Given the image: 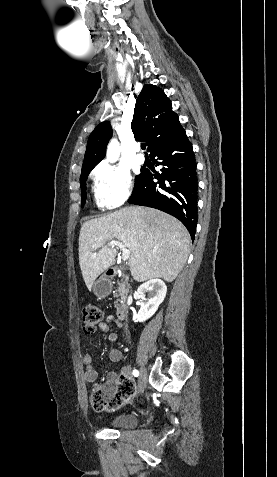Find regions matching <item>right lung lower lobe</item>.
Returning <instances> with one entry per match:
<instances>
[{
	"label": "right lung lower lobe",
	"mask_w": 277,
	"mask_h": 477,
	"mask_svg": "<svg viewBox=\"0 0 277 477\" xmlns=\"http://www.w3.org/2000/svg\"><path fill=\"white\" fill-rule=\"evenodd\" d=\"M151 159L162 165L161 173L143 171L129 203L153 207L179 219L195 238L197 225V175L191 142L181 128L167 141L154 147ZM160 179L157 183L153 179Z\"/></svg>",
	"instance_id": "98d812e1"
}]
</instances>
